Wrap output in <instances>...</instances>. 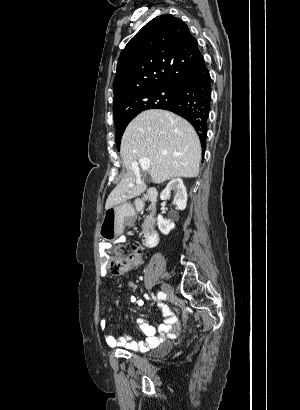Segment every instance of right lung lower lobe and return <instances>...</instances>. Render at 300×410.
<instances>
[{
    "label": "right lung lower lobe",
    "instance_id": "98d812e1",
    "mask_svg": "<svg viewBox=\"0 0 300 410\" xmlns=\"http://www.w3.org/2000/svg\"><path fill=\"white\" fill-rule=\"evenodd\" d=\"M210 103L211 79L203 60L182 80L172 101L160 108L182 116L193 125L199 135L203 153L206 147Z\"/></svg>",
    "mask_w": 300,
    "mask_h": 410
}]
</instances>
